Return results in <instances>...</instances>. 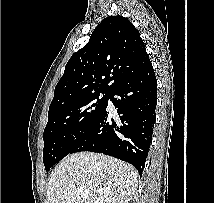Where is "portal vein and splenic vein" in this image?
<instances>
[{
  "mask_svg": "<svg viewBox=\"0 0 214 203\" xmlns=\"http://www.w3.org/2000/svg\"><path fill=\"white\" fill-rule=\"evenodd\" d=\"M76 193H77L79 196L83 197V198L87 197L88 194H89V192H88L87 190L83 189V188H79V189L76 191Z\"/></svg>",
  "mask_w": 214,
  "mask_h": 203,
  "instance_id": "obj_1",
  "label": "portal vein and splenic vein"
}]
</instances>
